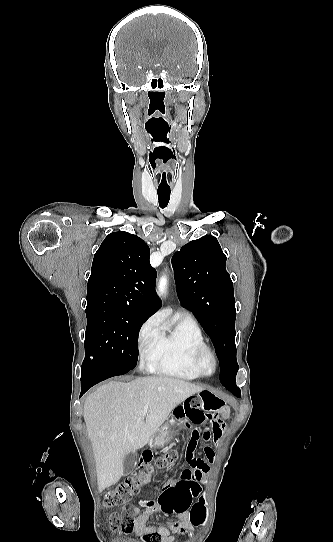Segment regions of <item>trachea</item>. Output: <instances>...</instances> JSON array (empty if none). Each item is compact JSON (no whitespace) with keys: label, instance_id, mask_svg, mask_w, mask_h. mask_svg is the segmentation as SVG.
Instances as JSON below:
<instances>
[{"label":"trachea","instance_id":"obj_1","mask_svg":"<svg viewBox=\"0 0 333 542\" xmlns=\"http://www.w3.org/2000/svg\"><path fill=\"white\" fill-rule=\"evenodd\" d=\"M157 193H158L159 206L162 209H164L168 205L171 192L169 189H158Z\"/></svg>","mask_w":333,"mask_h":542}]
</instances>
